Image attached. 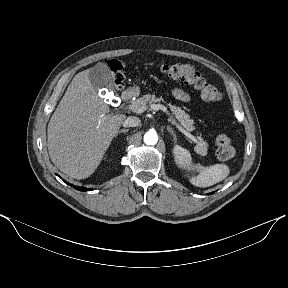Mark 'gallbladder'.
<instances>
[{"instance_id": "1", "label": "gallbladder", "mask_w": 288, "mask_h": 288, "mask_svg": "<svg viewBox=\"0 0 288 288\" xmlns=\"http://www.w3.org/2000/svg\"><path fill=\"white\" fill-rule=\"evenodd\" d=\"M89 80L96 88H107L113 90L111 71L106 63H98L91 69L88 74Z\"/></svg>"}]
</instances>
